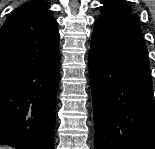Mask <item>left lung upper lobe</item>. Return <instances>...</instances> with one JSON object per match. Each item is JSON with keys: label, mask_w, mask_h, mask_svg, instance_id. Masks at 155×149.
<instances>
[{"label": "left lung upper lobe", "mask_w": 155, "mask_h": 149, "mask_svg": "<svg viewBox=\"0 0 155 149\" xmlns=\"http://www.w3.org/2000/svg\"><path fill=\"white\" fill-rule=\"evenodd\" d=\"M104 4L102 15L97 21L117 19L122 16L136 15L131 11V7L124 0H102Z\"/></svg>", "instance_id": "1"}]
</instances>
